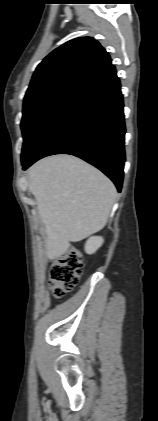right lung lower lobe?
<instances>
[{"mask_svg":"<svg viewBox=\"0 0 158 421\" xmlns=\"http://www.w3.org/2000/svg\"><path fill=\"white\" fill-rule=\"evenodd\" d=\"M124 135L120 81L111 64L81 84L65 101L22 162L23 169L45 156L71 154L100 169L120 192Z\"/></svg>","mask_w":158,"mask_h":421,"instance_id":"right-lung-lower-lobe-1","label":"right lung lower lobe"}]
</instances>
